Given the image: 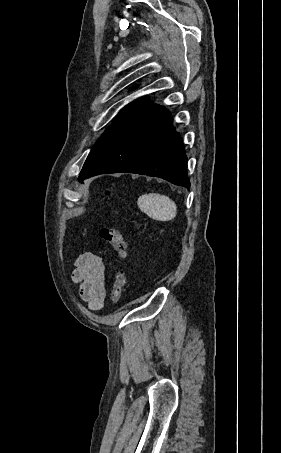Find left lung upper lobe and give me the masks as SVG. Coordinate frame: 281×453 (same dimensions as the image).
<instances>
[{"label":"left lung upper lobe","mask_w":281,"mask_h":453,"mask_svg":"<svg viewBox=\"0 0 281 453\" xmlns=\"http://www.w3.org/2000/svg\"><path fill=\"white\" fill-rule=\"evenodd\" d=\"M140 99L128 104L125 106L119 114L116 116L115 121L113 124L102 134L96 144L93 146L90 154L88 155L84 166H86L98 153V151L103 147L106 141L109 139L111 134L116 130V128L130 115V113L136 108V106L140 103ZM83 166V167H84Z\"/></svg>","instance_id":"left-lung-upper-lobe-1"}]
</instances>
